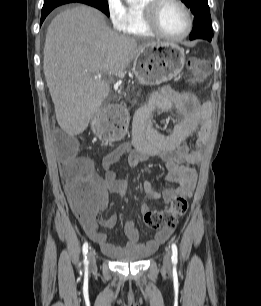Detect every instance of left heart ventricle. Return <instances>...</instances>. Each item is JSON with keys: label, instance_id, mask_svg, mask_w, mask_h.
Segmentation results:
<instances>
[{"label": "left heart ventricle", "instance_id": "1", "mask_svg": "<svg viewBox=\"0 0 261 306\" xmlns=\"http://www.w3.org/2000/svg\"><path fill=\"white\" fill-rule=\"evenodd\" d=\"M157 20L160 28L171 36L182 35L187 27L183 10L173 2H166L160 7Z\"/></svg>", "mask_w": 261, "mask_h": 306}]
</instances>
